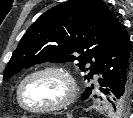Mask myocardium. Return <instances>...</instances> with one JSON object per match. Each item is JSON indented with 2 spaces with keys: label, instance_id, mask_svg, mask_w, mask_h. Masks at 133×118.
<instances>
[{
  "label": "myocardium",
  "instance_id": "f54148a6",
  "mask_svg": "<svg viewBox=\"0 0 133 118\" xmlns=\"http://www.w3.org/2000/svg\"><path fill=\"white\" fill-rule=\"evenodd\" d=\"M44 73L56 74L61 78H63L67 87L66 96L60 102L55 103L53 105L40 107V108H30L26 106L23 101V98H22L23 88L26 82L30 78L39 74H44ZM77 93H78V85L72 72L64 66L49 64V65H44L31 70L21 79L17 88V101L20 107L28 113L45 114V113H52V112H56L64 108H67L75 101Z\"/></svg>",
  "mask_w": 133,
  "mask_h": 118
}]
</instances>
